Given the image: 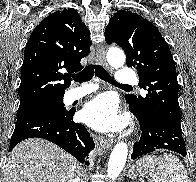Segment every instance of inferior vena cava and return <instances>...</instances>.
I'll use <instances>...</instances> for the list:
<instances>
[{
	"instance_id": "inferior-vena-cava-1",
	"label": "inferior vena cava",
	"mask_w": 196,
	"mask_h": 182,
	"mask_svg": "<svg viewBox=\"0 0 196 182\" xmlns=\"http://www.w3.org/2000/svg\"><path fill=\"white\" fill-rule=\"evenodd\" d=\"M73 182H81L79 176L77 175Z\"/></svg>"
}]
</instances>
